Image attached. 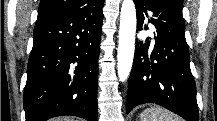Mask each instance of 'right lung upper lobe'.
Wrapping results in <instances>:
<instances>
[{"mask_svg":"<svg viewBox=\"0 0 217 121\" xmlns=\"http://www.w3.org/2000/svg\"><path fill=\"white\" fill-rule=\"evenodd\" d=\"M85 2L86 0H41L38 10V18L78 9L82 7Z\"/></svg>","mask_w":217,"mask_h":121,"instance_id":"1","label":"right lung upper lobe"}]
</instances>
